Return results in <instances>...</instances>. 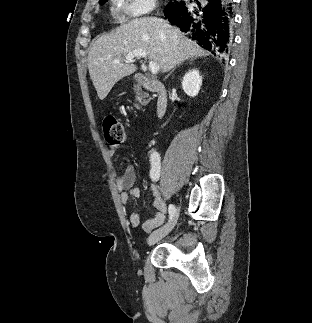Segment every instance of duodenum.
Listing matches in <instances>:
<instances>
[{
	"instance_id": "410a0bca",
	"label": "duodenum",
	"mask_w": 312,
	"mask_h": 323,
	"mask_svg": "<svg viewBox=\"0 0 312 323\" xmlns=\"http://www.w3.org/2000/svg\"><path fill=\"white\" fill-rule=\"evenodd\" d=\"M137 81L141 87L156 95V115L157 117L163 116L167 110V90L165 86L156 79L145 78L141 75L137 76Z\"/></svg>"
}]
</instances>
